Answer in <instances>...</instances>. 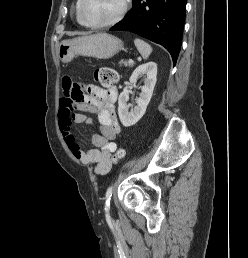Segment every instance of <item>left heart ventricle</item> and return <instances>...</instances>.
Segmentation results:
<instances>
[{
    "instance_id": "left-heart-ventricle-1",
    "label": "left heart ventricle",
    "mask_w": 248,
    "mask_h": 258,
    "mask_svg": "<svg viewBox=\"0 0 248 258\" xmlns=\"http://www.w3.org/2000/svg\"><path fill=\"white\" fill-rule=\"evenodd\" d=\"M122 0H84L83 13L92 23L113 18L121 8Z\"/></svg>"
}]
</instances>
